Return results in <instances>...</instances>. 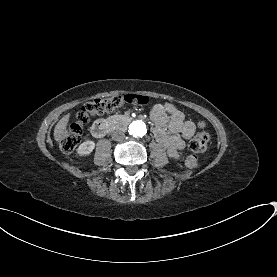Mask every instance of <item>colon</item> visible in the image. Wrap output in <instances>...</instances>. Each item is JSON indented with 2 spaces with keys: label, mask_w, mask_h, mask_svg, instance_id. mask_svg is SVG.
Instances as JSON below:
<instances>
[{
  "label": "colon",
  "mask_w": 277,
  "mask_h": 277,
  "mask_svg": "<svg viewBox=\"0 0 277 277\" xmlns=\"http://www.w3.org/2000/svg\"><path fill=\"white\" fill-rule=\"evenodd\" d=\"M151 98L140 94H120L101 96L85 103L76 115L75 120L66 126L62 133L61 146L64 151L71 152L75 144L81 138L84 126L90 121L91 117L99 116L104 113H113L124 105H148ZM212 136L206 125L200 121L195 134L190 138L187 148L191 154L180 153V157L185 159L188 169L195 170L200 167V161L196 153L204 152Z\"/></svg>",
  "instance_id": "obj_1"
}]
</instances>
